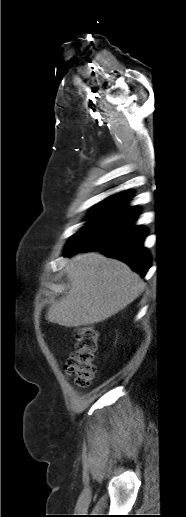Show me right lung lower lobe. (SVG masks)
Returning a JSON list of instances; mask_svg holds the SVG:
<instances>
[{
  "label": "right lung lower lobe",
  "instance_id": "right-lung-lower-lobe-1",
  "mask_svg": "<svg viewBox=\"0 0 186 517\" xmlns=\"http://www.w3.org/2000/svg\"><path fill=\"white\" fill-rule=\"evenodd\" d=\"M129 199L115 204L74 234L65 246L64 256L96 250L127 263L144 276L151 263L150 254L143 246L148 230L134 225L139 210L127 206Z\"/></svg>",
  "mask_w": 186,
  "mask_h": 517
}]
</instances>
